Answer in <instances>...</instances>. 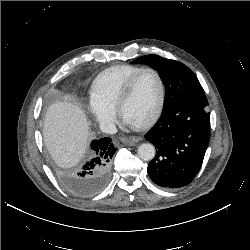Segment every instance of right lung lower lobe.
Here are the masks:
<instances>
[{"instance_id":"1","label":"right lung lower lobe","mask_w":250,"mask_h":250,"mask_svg":"<svg viewBox=\"0 0 250 250\" xmlns=\"http://www.w3.org/2000/svg\"><path fill=\"white\" fill-rule=\"evenodd\" d=\"M116 150L110 138L92 141L89 161L72 178L76 194L89 197L104 188L109 179L110 162Z\"/></svg>"}]
</instances>
